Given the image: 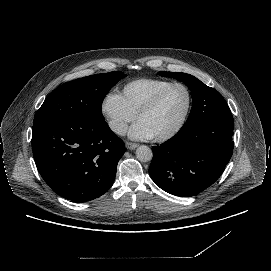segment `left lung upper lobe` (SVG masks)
<instances>
[{
    "label": "left lung upper lobe",
    "instance_id": "5c2ea615",
    "mask_svg": "<svg viewBox=\"0 0 271 271\" xmlns=\"http://www.w3.org/2000/svg\"><path fill=\"white\" fill-rule=\"evenodd\" d=\"M160 76L172 77L186 84L191 90L192 108L183 127L209 118H233L222 95L215 89L206 86L196 77L180 72H159Z\"/></svg>",
    "mask_w": 271,
    "mask_h": 271
}]
</instances>
